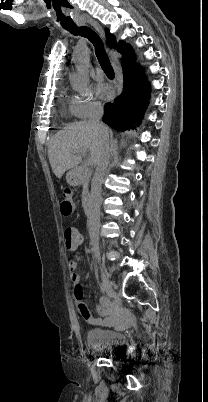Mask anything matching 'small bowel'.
<instances>
[{
    "label": "small bowel",
    "mask_w": 208,
    "mask_h": 402,
    "mask_svg": "<svg viewBox=\"0 0 208 402\" xmlns=\"http://www.w3.org/2000/svg\"><path fill=\"white\" fill-rule=\"evenodd\" d=\"M80 243L86 242V237H79ZM75 256V255H74ZM67 263L71 265L72 269H75L77 263L74 262L72 258L67 260ZM71 280L74 285L73 295L75 299H83L84 298V289L81 285V279L79 274L73 272L71 274ZM98 316L91 317L89 316L87 319L93 323V327L96 330H129L133 327V324L128 321L127 312L125 309H121L119 306L114 303L104 299L100 305L97 306ZM130 317L135 318L138 315L137 310L132 309L129 312ZM122 321H118V320Z\"/></svg>",
    "instance_id": "c3829d8e"
}]
</instances>
